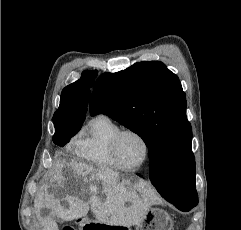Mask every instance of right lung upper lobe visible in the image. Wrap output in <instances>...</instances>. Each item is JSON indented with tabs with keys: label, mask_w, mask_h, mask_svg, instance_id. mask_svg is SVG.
Masks as SVG:
<instances>
[{
	"label": "right lung upper lobe",
	"mask_w": 241,
	"mask_h": 230,
	"mask_svg": "<svg viewBox=\"0 0 241 230\" xmlns=\"http://www.w3.org/2000/svg\"><path fill=\"white\" fill-rule=\"evenodd\" d=\"M97 74L96 70H86L79 80L63 89L60 106L53 116L54 123L83 124L86 118L90 88L93 86Z\"/></svg>",
	"instance_id": "cb5924a9"
}]
</instances>
